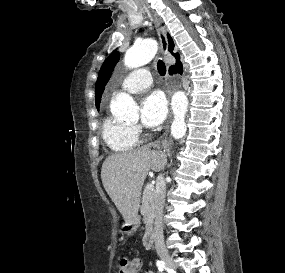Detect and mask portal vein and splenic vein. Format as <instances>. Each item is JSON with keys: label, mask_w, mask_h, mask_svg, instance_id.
I'll return each instance as SVG.
<instances>
[{"label": "portal vein and splenic vein", "mask_w": 285, "mask_h": 273, "mask_svg": "<svg viewBox=\"0 0 285 273\" xmlns=\"http://www.w3.org/2000/svg\"><path fill=\"white\" fill-rule=\"evenodd\" d=\"M147 188L151 189V188H153V186H152V185H150V186H148Z\"/></svg>", "instance_id": "18ae733b"}]
</instances>
